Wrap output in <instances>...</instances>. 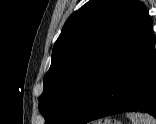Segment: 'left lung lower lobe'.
Returning a JSON list of instances; mask_svg holds the SVG:
<instances>
[{"label": "left lung lower lobe", "mask_w": 156, "mask_h": 124, "mask_svg": "<svg viewBox=\"0 0 156 124\" xmlns=\"http://www.w3.org/2000/svg\"><path fill=\"white\" fill-rule=\"evenodd\" d=\"M127 111L156 117V53L152 25L116 62L78 124Z\"/></svg>", "instance_id": "obj_1"}]
</instances>
